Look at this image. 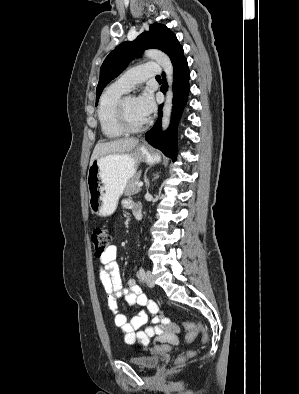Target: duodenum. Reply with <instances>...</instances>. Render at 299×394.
<instances>
[{
	"instance_id": "obj_1",
	"label": "duodenum",
	"mask_w": 299,
	"mask_h": 394,
	"mask_svg": "<svg viewBox=\"0 0 299 394\" xmlns=\"http://www.w3.org/2000/svg\"><path fill=\"white\" fill-rule=\"evenodd\" d=\"M135 217L138 220H140L142 218V213L139 209L135 211Z\"/></svg>"
}]
</instances>
